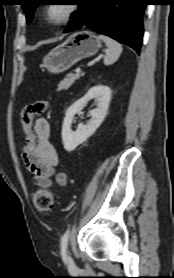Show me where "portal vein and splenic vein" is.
<instances>
[{
	"instance_id": "obj_1",
	"label": "portal vein and splenic vein",
	"mask_w": 174,
	"mask_h": 278,
	"mask_svg": "<svg viewBox=\"0 0 174 278\" xmlns=\"http://www.w3.org/2000/svg\"><path fill=\"white\" fill-rule=\"evenodd\" d=\"M99 59V58H98ZM98 59H96V60H98ZM81 71V68H77L76 69V73H79Z\"/></svg>"
}]
</instances>
